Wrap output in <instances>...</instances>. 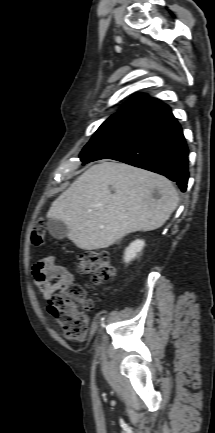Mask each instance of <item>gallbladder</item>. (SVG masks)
<instances>
[{
  "label": "gallbladder",
  "instance_id": "bac80fb5",
  "mask_svg": "<svg viewBox=\"0 0 215 433\" xmlns=\"http://www.w3.org/2000/svg\"><path fill=\"white\" fill-rule=\"evenodd\" d=\"M49 233L54 238L61 240L67 237L68 227L66 224L58 219H49L47 222Z\"/></svg>",
  "mask_w": 215,
  "mask_h": 433
}]
</instances>
